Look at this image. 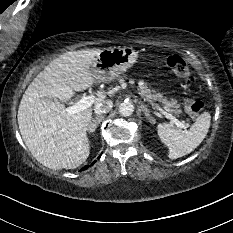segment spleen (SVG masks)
Segmentation results:
<instances>
[{
    "mask_svg": "<svg viewBox=\"0 0 233 233\" xmlns=\"http://www.w3.org/2000/svg\"><path fill=\"white\" fill-rule=\"evenodd\" d=\"M211 115L203 112L189 131H182L172 124L160 123L157 132L160 140L168 147V157L177 159L191 153L206 137L210 128Z\"/></svg>",
    "mask_w": 233,
    "mask_h": 233,
    "instance_id": "3e777b00",
    "label": "spleen"
}]
</instances>
